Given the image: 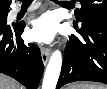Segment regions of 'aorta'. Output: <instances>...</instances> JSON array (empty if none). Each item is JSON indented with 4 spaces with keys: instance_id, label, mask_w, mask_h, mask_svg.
I'll return each mask as SVG.
<instances>
[{
    "instance_id": "obj_1",
    "label": "aorta",
    "mask_w": 107,
    "mask_h": 89,
    "mask_svg": "<svg viewBox=\"0 0 107 89\" xmlns=\"http://www.w3.org/2000/svg\"><path fill=\"white\" fill-rule=\"evenodd\" d=\"M62 67V54L59 50L52 53L47 65L42 89H55Z\"/></svg>"
}]
</instances>
